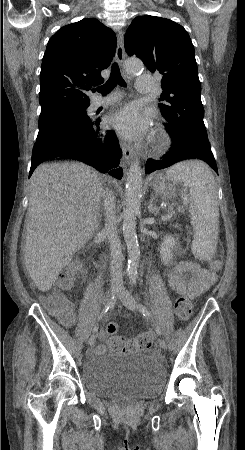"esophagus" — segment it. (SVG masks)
I'll return each mask as SVG.
<instances>
[{
  "label": "esophagus",
  "mask_w": 245,
  "mask_h": 450,
  "mask_svg": "<svg viewBox=\"0 0 245 450\" xmlns=\"http://www.w3.org/2000/svg\"><path fill=\"white\" fill-rule=\"evenodd\" d=\"M116 61L121 65L125 59V49H124V42H123V32L120 30L118 32V41H117V48H116ZM123 159L127 164H130L132 157H133V150L126 142L120 143Z\"/></svg>",
  "instance_id": "esophagus-1"
}]
</instances>
